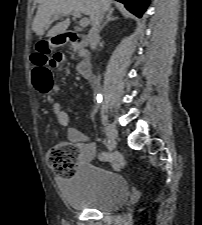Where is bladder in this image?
<instances>
[{"instance_id": "31cf9c89", "label": "bladder", "mask_w": 202, "mask_h": 225, "mask_svg": "<svg viewBox=\"0 0 202 225\" xmlns=\"http://www.w3.org/2000/svg\"><path fill=\"white\" fill-rule=\"evenodd\" d=\"M64 199L73 209L115 212L122 209L129 196L124 176L92 164L81 165L61 181Z\"/></svg>"}]
</instances>
